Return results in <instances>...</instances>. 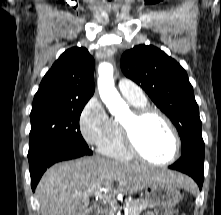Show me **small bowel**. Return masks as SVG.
Returning a JSON list of instances; mask_svg holds the SVG:
<instances>
[{
	"label": "small bowel",
	"mask_w": 221,
	"mask_h": 215,
	"mask_svg": "<svg viewBox=\"0 0 221 215\" xmlns=\"http://www.w3.org/2000/svg\"><path fill=\"white\" fill-rule=\"evenodd\" d=\"M144 215H154L152 212H147Z\"/></svg>",
	"instance_id": "small-bowel-1"
}]
</instances>
